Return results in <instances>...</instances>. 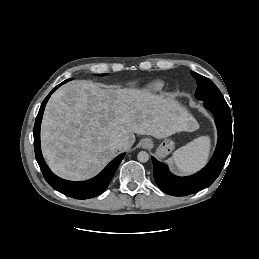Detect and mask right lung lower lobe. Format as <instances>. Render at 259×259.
<instances>
[{
	"label": "right lung lower lobe",
	"mask_w": 259,
	"mask_h": 259,
	"mask_svg": "<svg viewBox=\"0 0 259 259\" xmlns=\"http://www.w3.org/2000/svg\"><path fill=\"white\" fill-rule=\"evenodd\" d=\"M62 82L58 86H56L49 95L44 99L41 104L40 110L36 117L33 135H34V150H35V157L40 166L42 174L45 180L52 186L55 190L59 191L60 193L67 195L72 198L76 199H89L101 194L109 185L110 181L112 180L115 171L117 170L120 162L122 161L125 153L120 154L117 156L112 162H110L105 169L93 179L83 182H72L61 179L54 175L51 170L46 165L40 148V125L43 116V112L46 106L48 99L50 98L51 94L62 84Z\"/></svg>",
	"instance_id": "right-lung-lower-lobe-1"
}]
</instances>
